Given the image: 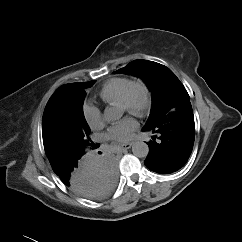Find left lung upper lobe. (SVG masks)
I'll use <instances>...</instances> for the list:
<instances>
[{
    "instance_id": "5c2ea615",
    "label": "left lung upper lobe",
    "mask_w": 242,
    "mask_h": 242,
    "mask_svg": "<svg viewBox=\"0 0 242 242\" xmlns=\"http://www.w3.org/2000/svg\"><path fill=\"white\" fill-rule=\"evenodd\" d=\"M116 72L139 76L151 90L152 108L145 126L153 124L176 105L189 100L185 87L176 75L159 63L138 59Z\"/></svg>"
}]
</instances>
